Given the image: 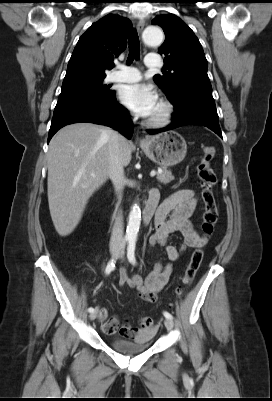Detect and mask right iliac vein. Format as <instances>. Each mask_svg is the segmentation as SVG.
Masks as SVG:
<instances>
[{"label":"right iliac vein","instance_id":"1","mask_svg":"<svg viewBox=\"0 0 272 401\" xmlns=\"http://www.w3.org/2000/svg\"><path fill=\"white\" fill-rule=\"evenodd\" d=\"M117 250H118V247H117V246H113V247L111 248V253H112L113 256H115V255L117 254ZM97 314H98V311H97V310L94 311V312H92V313L89 315L90 320H94V319L97 317Z\"/></svg>","mask_w":272,"mask_h":401}]
</instances>
